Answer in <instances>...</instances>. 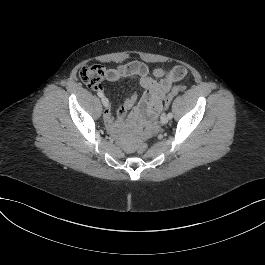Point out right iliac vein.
Returning a JSON list of instances; mask_svg holds the SVG:
<instances>
[{"label": "right iliac vein", "mask_w": 265, "mask_h": 265, "mask_svg": "<svg viewBox=\"0 0 265 265\" xmlns=\"http://www.w3.org/2000/svg\"><path fill=\"white\" fill-rule=\"evenodd\" d=\"M102 104L104 107H108L109 106V100L105 97L102 98Z\"/></svg>", "instance_id": "obj_1"}]
</instances>
